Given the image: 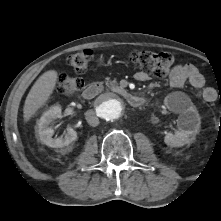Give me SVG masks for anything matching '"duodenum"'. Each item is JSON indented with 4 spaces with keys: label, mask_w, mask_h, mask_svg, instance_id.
Wrapping results in <instances>:
<instances>
[{
    "label": "duodenum",
    "mask_w": 221,
    "mask_h": 221,
    "mask_svg": "<svg viewBox=\"0 0 221 221\" xmlns=\"http://www.w3.org/2000/svg\"><path fill=\"white\" fill-rule=\"evenodd\" d=\"M102 89L103 85L101 83L93 82L84 89L83 97L87 100H91L95 98ZM116 94L126 99L133 107H139L144 103V99L142 97H139L128 90H120Z\"/></svg>",
    "instance_id": "410a0bca"
}]
</instances>
